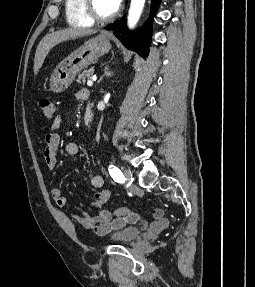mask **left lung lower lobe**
<instances>
[{
    "instance_id": "obj_1",
    "label": "left lung lower lobe",
    "mask_w": 255,
    "mask_h": 287,
    "mask_svg": "<svg viewBox=\"0 0 255 287\" xmlns=\"http://www.w3.org/2000/svg\"><path fill=\"white\" fill-rule=\"evenodd\" d=\"M161 0H152L151 3V17L146 24L134 31L130 32L125 24V17L120 21H116L106 27L107 30H113L116 37L123 43L125 47L131 49L143 57L148 55V48L151 40V19L155 11L160 5Z\"/></svg>"
}]
</instances>
